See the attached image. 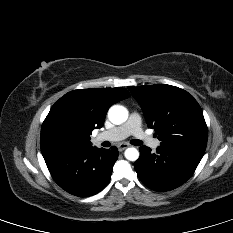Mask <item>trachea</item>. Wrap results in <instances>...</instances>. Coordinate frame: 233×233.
I'll list each match as a JSON object with an SVG mask.
<instances>
[{
  "label": "trachea",
  "instance_id": "3493384b",
  "mask_svg": "<svg viewBox=\"0 0 233 233\" xmlns=\"http://www.w3.org/2000/svg\"><path fill=\"white\" fill-rule=\"evenodd\" d=\"M130 143H131L132 145H135V146H139V145L142 144V142L139 141V140H137V139L132 140Z\"/></svg>",
  "mask_w": 233,
  "mask_h": 233
}]
</instances>
